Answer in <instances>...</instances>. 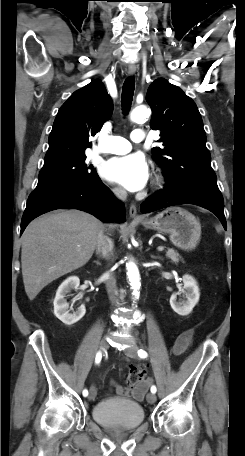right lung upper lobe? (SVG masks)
Segmentation results:
<instances>
[{
	"label": "right lung upper lobe",
	"instance_id": "obj_1",
	"mask_svg": "<svg viewBox=\"0 0 245 456\" xmlns=\"http://www.w3.org/2000/svg\"><path fill=\"white\" fill-rule=\"evenodd\" d=\"M112 111L111 98L100 80L75 91L55 118L43 167L85 156V149L92 145L89 136L100 131Z\"/></svg>",
	"mask_w": 245,
	"mask_h": 456
}]
</instances>
